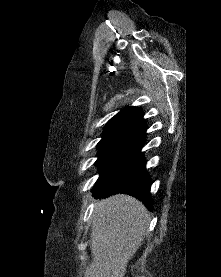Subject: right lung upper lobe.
Returning a JSON list of instances; mask_svg holds the SVG:
<instances>
[{
  "label": "right lung upper lobe",
  "mask_w": 221,
  "mask_h": 277,
  "mask_svg": "<svg viewBox=\"0 0 221 277\" xmlns=\"http://www.w3.org/2000/svg\"><path fill=\"white\" fill-rule=\"evenodd\" d=\"M142 110L126 107L116 114L106 126L143 125Z\"/></svg>",
  "instance_id": "cb5924a9"
}]
</instances>
